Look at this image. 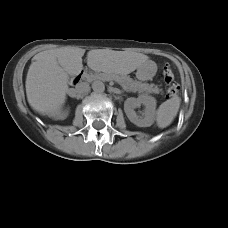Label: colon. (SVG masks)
Masks as SVG:
<instances>
[{
	"instance_id": "colon-1",
	"label": "colon",
	"mask_w": 228,
	"mask_h": 228,
	"mask_svg": "<svg viewBox=\"0 0 228 228\" xmlns=\"http://www.w3.org/2000/svg\"><path fill=\"white\" fill-rule=\"evenodd\" d=\"M163 76L165 83L167 85H170L168 88V95L170 97L175 96L179 93L180 87L177 83H174V73L172 71V68L170 67L169 64H165L163 66Z\"/></svg>"
}]
</instances>
